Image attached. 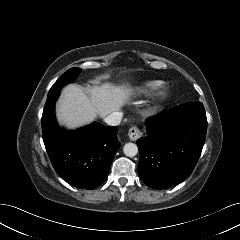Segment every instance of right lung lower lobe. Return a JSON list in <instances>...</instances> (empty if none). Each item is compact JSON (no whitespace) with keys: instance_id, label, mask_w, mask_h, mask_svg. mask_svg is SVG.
Returning a JSON list of instances; mask_svg holds the SVG:
<instances>
[{"instance_id":"98d812e1","label":"right lung lower lobe","mask_w":240,"mask_h":240,"mask_svg":"<svg viewBox=\"0 0 240 240\" xmlns=\"http://www.w3.org/2000/svg\"><path fill=\"white\" fill-rule=\"evenodd\" d=\"M59 93L48 95L42 114L46 151L62 179L77 188L94 189L108 177L112 160L120 147L118 128L97 122L75 131L59 128L54 113Z\"/></svg>"}]
</instances>
